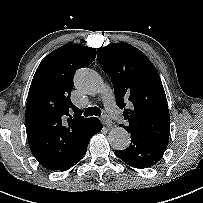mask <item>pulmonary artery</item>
<instances>
[{
    "mask_svg": "<svg viewBox=\"0 0 203 203\" xmlns=\"http://www.w3.org/2000/svg\"><path fill=\"white\" fill-rule=\"evenodd\" d=\"M104 104L107 109V111L116 118L121 117V111L118 109L112 90L109 87H106L104 89Z\"/></svg>",
    "mask_w": 203,
    "mask_h": 203,
    "instance_id": "1",
    "label": "pulmonary artery"
}]
</instances>
